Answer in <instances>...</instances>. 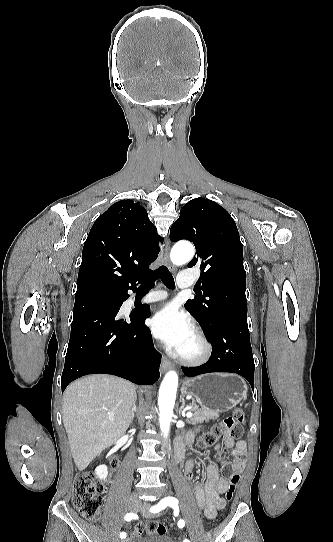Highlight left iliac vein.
<instances>
[{"label":"left iliac vein","mask_w":333,"mask_h":542,"mask_svg":"<svg viewBox=\"0 0 333 542\" xmlns=\"http://www.w3.org/2000/svg\"><path fill=\"white\" fill-rule=\"evenodd\" d=\"M150 507H151V505L148 502H145L141 507L140 512H141L142 516H144L145 518H148V517L152 516V514L150 512Z\"/></svg>","instance_id":"1"}]
</instances>
